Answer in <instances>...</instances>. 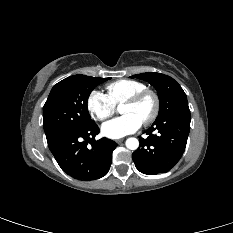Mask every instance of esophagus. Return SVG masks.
Masks as SVG:
<instances>
[{
    "label": "esophagus",
    "instance_id": "34e87169",
    "mask_svg": "<svg viewBox=\"0 0 233 233\" xmlns=\"http://www.w3.org/2000/svg\"><path fill=\"white\" fill-rule=\"evenodd\" d=\"M123 141H124V139H118V140H116V142H117L118 144L122 143Z\"/></svg>",
    "mask_w": 233,
    "mask_h": 233
}]
</instances>
